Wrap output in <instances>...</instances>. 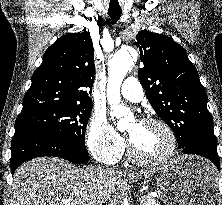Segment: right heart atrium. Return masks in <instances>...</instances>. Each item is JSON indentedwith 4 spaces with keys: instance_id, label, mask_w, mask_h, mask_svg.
<instances>
[{
    "instance_id": "1",
    "label": "right heart atrium",
    "mask_w": 222,
    "mask_h": 205,
    "mask_svg": "<svg viewBox=\"0 0 222 205\" xmlns=\"http://www.w3.org/2000/svg\"><path fill=\"white\" fill-rule=\"evenodd\" d=\"M86 142L91 154L106 164L118 160L125 148L122 137L101 113L92 114L86 129Z\"/></svg>"
}]
</instances>
